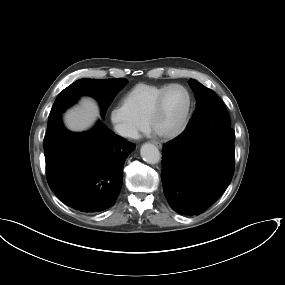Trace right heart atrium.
Returning <instances> with one entry per match:
<instances>
[{
	"label": "right heart atrium",
	"mask_w": 285,
	"mask_h": 285,
	"mask_svg": "<svg viewBox=\"0 0 285 285\" xmlns=\"http://www.w3.org/2000/svg\"><path fill=\"white\" fill-rule=\"evenodd\" d=\"M108 115L112 129L124 139H134L140 130L146 128L145 122L136 118L124 102L112 106Z\"/></svg>",
	"instance_id": "d8ad5b80"
}]
</instances>
